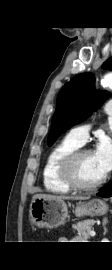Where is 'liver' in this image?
Listing matches in <instances>:
<instances>
[{
	"label": "liver",
	"mask_w": 112,
	"mask_h": 270,
	"mask_svg": "<svg viewBox=\"0 0 112 270\" xmlns=\"http://www.w3.org/2000/svg\"><path fill=\"white\" fill-rule=\"evenodd\" d=\"M33 198H58V199H75V200H85L88 199L87 197H69V196H56V195H48V194H36Z\"/></svg>",
	"instance_id": "6515ba94"
}]
</instances>
